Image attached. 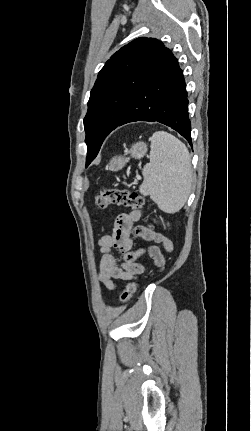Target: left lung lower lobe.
I'll list each match as a JSON object with an SVG mask.
<instances>
[{"label":"left lung lower lobe","instance_id":"left-lung-lower-lobe-1","mask_svg":"<svg viewBox=\"0 0 251 431\" xmlns=\"http://www.w3.org/2000/svg\"><path fill=\"white\" fill-rule=\"evenodd\" d=\"M187 104L183 72L172 52L164 47L116 127L135 121L160 122L176 130L192 145Z\"/></svg>","mask_w":251,"mask_h":431}]
</instances>
